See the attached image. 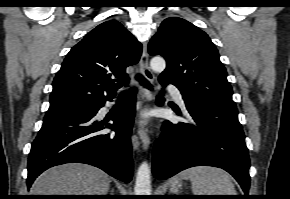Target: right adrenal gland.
<instances>
[{"label": "right adrenal gland", "mask_w": 290, "mask_h": 199, "mask_svg": "<svg viewBox=\"0 0 290 199\" xmlns=\"http://www.w3.org/2000/svg\"><path fill=\"white\" fill-rule=\"evenodd\" d=\"M113 191H114V190L112 189V190H111V195H113Z\"/></svg>", "instance_id": "1"}]
</instances>
